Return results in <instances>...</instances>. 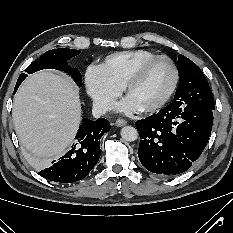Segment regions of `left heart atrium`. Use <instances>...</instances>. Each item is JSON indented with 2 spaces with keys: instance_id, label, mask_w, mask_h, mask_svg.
<instances>
[{
  "instance_id": "obj_1",
  "label": "left heart atrium",
  "mask_w": 233,
  "mask_h": 233,
  "mask_svg": "<svg viewBox=\"0 0 233 233\" xmlns=\"http://www.w3.org/2000/svg\"><path fill=\"white\" fill-rule=\"evenodd\" d=\"M116 108L124 111H138L141 109L136 104H134L128 97L122 103L118 104Z\"/></svg>"
}]
</instances>
